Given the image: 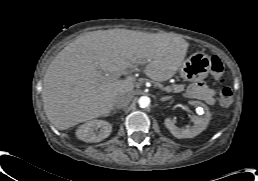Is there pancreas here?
Returning <instances> with one entry per match:
<instances>
[{"label":"pancreas","instance_id":"pancreas-1","mask_svg":"<svg viewBox=\"0 0 258 181\" xmlns=\"http://www.w3.org/2000/svg\"><path fill=\"white\" fill-rule=\"evenodd\" d=\"M172 92L174 93H180L184 91L185 85L183 84H173L172 86H169Z\"/></svg>","mask_w":258,"mask_h":181}]
</instances>
